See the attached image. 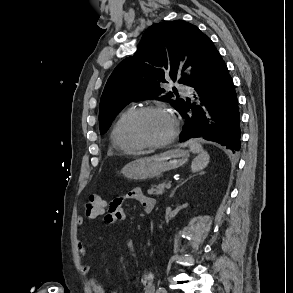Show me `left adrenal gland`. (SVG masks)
Instances as JSON below:
<instances>
[{"label":"left adrenal gland","mask_w":293,"mask_h":293,"mask_svg":"<svg viewBox=\"0 0 293 293\" xmlns=\"http://www.w3.org/2000/svg\"><path fill=\"white\" fill-rule=\"evenodd\" d=\"M193 176H190L189 177V179H191ZM189 179H187V180H189ZM187 180H185L183 183H185ZM179 186H177L176 188H174L173 190H172V192H171V194H170V198H172L173 196H174V193L176 192V190H177V188H178Z\"/></svg>","instance_id":"a2214340"}]
</instances>
